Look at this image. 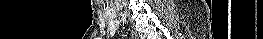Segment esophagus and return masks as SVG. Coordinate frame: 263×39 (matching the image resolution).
Instances as JSON below:
<instances>
[{
	"instance_id": "esophagus-1",
	"label": "esophagus",
	"mask_w": 263,
	"mask_h": 39,
	"mask_svg": "<svg viewBox=\"0 0 263 39\" xmlns=\"http://www.w3.org/2000/svg\"><path fill=\"white\" fill-rule=\"evenodd\" d=\"M129 31H130L131 37L137 39V34L131 29H129Z\"/></svg>"
}]
</instances>
